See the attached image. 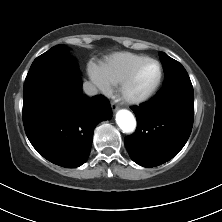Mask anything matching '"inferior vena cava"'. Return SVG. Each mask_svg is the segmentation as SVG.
Returning <instances> with one entry per match:
<instances>
[{
    "instance_id": "obj_1",
    "label": "inferior vena cava",
    "mask_w": 222,
    "mask_h": 222,
    "mask_svg": "<svg viewBox=\"0 0 222 222\" xmlns=\"http://www.w3.org/2000/svg\"><path fill=\"white\" fill-rule=\"evenodd\" d=\"M83 90L89 96H94L98 94V89L90 82H84Z\"/></svg>"
}]
</instances>
